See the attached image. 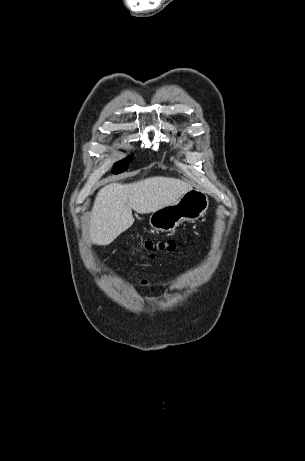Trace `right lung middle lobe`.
I'll use <instances>...</instances> for the list:
<instances>
[{"label": "right lung middle lobe", "mask_w": 305, "mask_h": 461, "mask_svg": "<svg viewBox=\"0 0 305 461\" xmlns=\"http://www.w3.org/2000/svg\"><path fill=\"white\" fill-rule=\"evenodd\" d=\"M132 160V157L129 156L128 158L120 161V162H117L114 167H113V170H112V173L114 174H118V173H121L123 172L124 170H127L128 167H129V162Z\"/></svg>", "instance_id": "1"}]
</instances>
